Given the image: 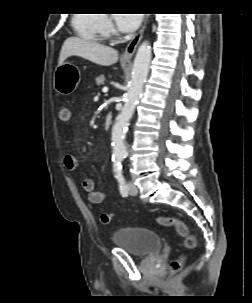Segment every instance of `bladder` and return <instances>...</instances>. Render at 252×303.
<instances>
[{"mask_svg":"<svg viewBox=\"0 0 252 303\" xmlns=\"http://www.w3.org/2000/svg\"><path fill=\"white\" fill-rule=\"evenodd\" d=\"M113 244L137 257H149L162 247L160 236L145 228L128 227L117 230L112 237Z\"/></svg>","mask_w":252,"mask_h":303,"instance_id":"bladder-1","label":"bladder"}]
</instances>
